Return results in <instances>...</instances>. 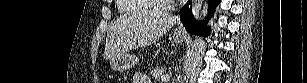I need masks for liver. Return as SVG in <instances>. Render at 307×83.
<instances>
[{
  "label": "liver",
  "mask_w": 307,
  "mask_h": 83,
  "mask_svg": "<svg viewBox=\"0 0 307 83\" xmlns=\"http://www.w3.org/2000/svg\"><path fill=\"white\" fill-rule=\"evenodd\" d=\"M176 18L164 14L143 12L117 19L110 27L104 57L109 60L126 50L151 45L175 25Z\"/></svg>",
  "instance_id": "1"
}]
</instances>
